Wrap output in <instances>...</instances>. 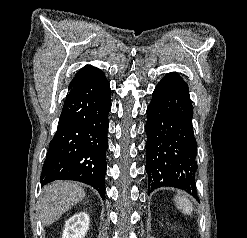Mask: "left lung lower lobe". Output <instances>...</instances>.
Listing matches in <instances>:
<instances>
[{
  "mask_svg": "<svg viewBox=\"0 0 247 238\" xmlns=\"http://www.w3.org/2000/svg\"><path fill=\"white\" fill-rule=\"evenodd\" d=\"M186 82L172 72L156 86L147 108L145 131L148 188L175 187L196 196L197 142Z\"/></svg>",
  "mask_w": 247,
  "mask_h": 238,
  "instance_id": "left-lung-lower-lobe-1",
  "label": "left lung lower lobe"
}]
</instances>
